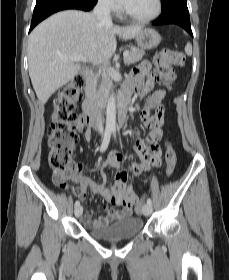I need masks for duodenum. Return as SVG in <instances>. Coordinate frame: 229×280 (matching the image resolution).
I'll use <instances>...</instances> for the list:
<instances>
[{"instance_id":"duodenum-1","label":"duodenum","mask_w":229,"mask_h":280,"mask_svg":"<svg viewBox=\"0 0 229 280\" xmlns=\"http://www.w3.org/2000/svg\"><path fill=\"white\" fill-rule=\"evenodd\" d=\"M83 78L87 83V91L85 99L82 103V109L85 114L86 121L89 126H96L98 123L99 107L94 95L95 74L92 71L83 73ZM129 106V96L127 93L122 92L119 100L118 109V125L123 126L127 118V109Z\"/></svg>"}]
</instances>
